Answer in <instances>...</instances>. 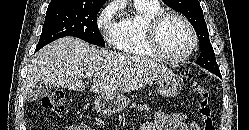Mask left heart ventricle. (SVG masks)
<instances>
[{
	"mask_svg": "<svg viewBox=\"0 0 249 130\" xmlns=\"http://www.w3.org/2000/svg\"><path fill=\"white\" fill-rule=\"evenodd\" d=\"M190 33L182 21L177 18H168L160 27L159 43L165 53L171 56H180L189 48Z\"/></svg>",
	"mask_w": 249,
	"mask_h": 130,
	"instance_id": "1",
	"label": "left heart ventricle"
}]
</instances>
